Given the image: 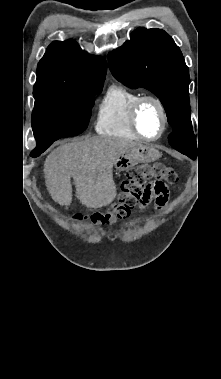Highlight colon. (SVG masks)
I'll use <instances>...</instances> for the list:
<instances>
[{
    "label": "colon",
    "instance_id": "colon-1",
    "mask_svg": "<svg viewBox=\"0 0 221 379\" xmlns=\"http://www.w3.org/2000/svg\"><path fill=\"white\" fill-rule=\"evenodd\" d=\"M178 181L176 171L162 163L144 164L130 169L121 185L118 201L106 212H95L88 217L76 216L77 220L89 219L100 225H111L125 219L146 196L168 192L167 185Z\"/></svg>",
    "mask_w": 221,
    "mask_h": 379
}]
</instances>
